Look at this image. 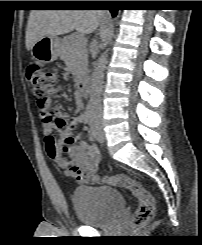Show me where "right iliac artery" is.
Segmentation results:
<instances>
[{
	"mask_svg": "<svg viewBox=\"0 0 202 245\" xmlns=\"http://www.w3.org/2000/svg\"><path fill=\"white\" fill-rule=\"evenodd\" d=\"M94 119L93 115V105L88 104L86 107V110L84 111L82 115V120L84 123H90Z\"/></svg>",
	"mask_w": 202,
	"mask_h": 245,
	"instance_id": "1",
	"label": "right iliac artery"
}]
</instances>
